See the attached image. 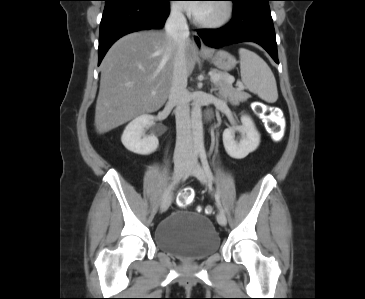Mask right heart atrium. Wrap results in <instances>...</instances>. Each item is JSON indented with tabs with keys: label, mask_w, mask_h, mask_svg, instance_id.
Returning <instances> with one entry per match:
<instances>
[{
	"label": "right heart atrium",
	"mask_w": 365,
	"mask_h": 299,
	"mask_svg": "<svg viewBox=\"0 0 365 299\" xmlns=\"http://www.w3.org/2000/svg\"><path fill=\"white\" fill-rule=\"evenodd\" d=\"M176 2V1H173ZM171 13L176 17L183 16V9L178 3H173L170 7Z\"/></svg>",
	"instance_id": "1"
}]
</instances>
